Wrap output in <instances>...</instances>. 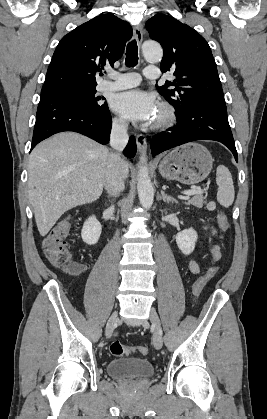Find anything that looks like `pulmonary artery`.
I'll return each instance as SVG.
<instances>
[{
	"label": "pulmonary artery",
	"mask_w": 267,
	"mask_h": 419,
	"mask_svg": "<svg viewBox=\"0 0 267 419\" xmlns=\"http://www.w3.org/2000/svg\"><path fill=\"white\" fill-rule=\"evenodd\" d=\"M145 77L149 79L159 78V69L155 66H147L144 69ZM110 80L101 83L100 90L102 91H118L134 87L139 84L141 78L139 74L134 72L129 73H109Z\"/></svg>",
	"instance_id": "e3ab8cb5"
}]
</instances>
